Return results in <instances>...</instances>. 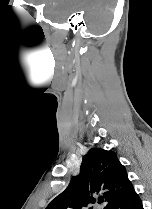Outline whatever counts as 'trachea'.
I'll list each match as a JSON object with an SVG mask.
<instances>
[{"instance_id": "3493384b", "label": "trachea", "mask_w": 152, "mask_h": 209, "mask_svg": "<svg viewBox=\"0 0 152 209\" xmlns=\"http://www.w3.org/2000/svg\"><path fill=\"white\" fill-rule=\"evenodd\" d=\"M103 202V197L99 198V203Z\"/></svg>"}]
</instances>
